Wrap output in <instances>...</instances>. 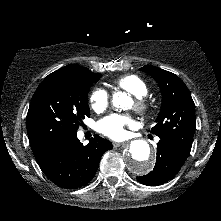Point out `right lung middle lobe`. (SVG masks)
<instances>
[{
  "instance_id": "1",
  "label": "right lung middle lobe",
  "mask_w": 221,
  "mask_h": 221,
  "mask_svg": "<svg viewBox=\"0 0 221 221\" xmlns=\"http://www.w3.org/2000/svg\"><path fill=\"white\" fill-rule=\"evenodd\" d=\"M100 78L101 74L93 72L48 75L37 87L27 114L31 147L52 137L76 132L82 120L90 116L88 91Z\"/></svg>"
}]
</instances>
